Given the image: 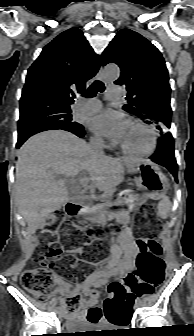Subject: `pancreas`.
Here are the masks:
<instances>
[{
  "label": "pancreas",
  "instance_id": "pancreas-1",
  "mask_svg": "<svg viewBox=\"0 0 194 336\" xmlns=\"http://www.w3.org/2000/svg\"><path fill=\"white\" fill-rule=\"evenodd\" d=\"M126 209H127L126 205L118 204V202L115 200H112L111 202H107L104 204H100L97 208V211L100 212L98 221H106V218L110 219L111 216L116 213V211H122Z\"/></svg>",
  "mask_w": 194,
  "mask_h": 336
}]
</instances>
